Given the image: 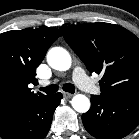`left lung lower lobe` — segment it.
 Masks as SVG:
<instances>
[{"label": "left lung lower lobe", "instance_id": "1", "mask_svg": "<svg viewBox=\"0 0 139 139\" xmlns=\"http://www.w3.org/2000/svg\"><path fill=\"white\" fill-rule=\"evenodd\" d=\"M91 108L82 115L85 129L98 139H121L139 124V92L111 100L91 96Z\"/></svg>", "mask_w": 139, "mask_h": 139}]
</instances>
